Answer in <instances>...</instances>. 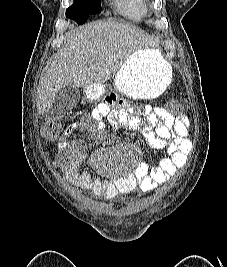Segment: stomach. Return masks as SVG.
Instances as JSON below:
<instances>
[{
  "label": "stomach",
  "instance_id": "obj_1",
  "mask_svg": "<svg viewBox=\"0 0 227 267\" xmlns=\"http://www.w3.org/2000/svg\"><path fill=\"white\" fill-rule=\"evenodd\" d=\"M172 80V67L159 49L143 48L134 52L115 76L114 87L128 99H150L162 94ZM103 85H88L86 96L94 101Z\"/></svg>",
  "mask_w": 227,
  "mask_h": 267
}]
</instances>
